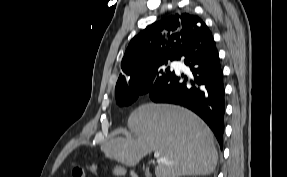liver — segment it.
I'll return each instance as SVG.
<instances>
[{
  "label": "liver",
  "instance_id": "6515ba94",
  "mask_svg": "<svg viewBox=\"0 0 287 177\" xmlns=\"http://www.w3.org/2000/svg\"><path fill=\"white\" fill-rule=\"evenodd\" d=\"M131 138L115 137L101 150L108 158L135 166L147 154L158 151L156 177L208 175L216 167L218 153L208 126L191 111L175 105L147 103L128 118Z\"/></svg>",
  "mask_w": 287,
  "mask_h": 177
}]
</instances>
